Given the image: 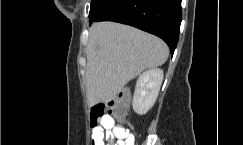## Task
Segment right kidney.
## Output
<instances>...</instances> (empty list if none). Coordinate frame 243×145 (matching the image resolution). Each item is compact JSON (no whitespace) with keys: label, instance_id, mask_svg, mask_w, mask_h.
<instances>
[{"label":"right kidney","instance_id":"obj_1","mask_svg":"<svg viewBox=\"0 0 243 145\" xmlns=\"http://www.w3.org/2000/svg\"><path fill=\"white\" fill-rule=\"evenodd\" d=\"M163 81V71L158 68L143 72L137 80L132 100L133 110L146 114L154 105Z\"/></svg>","mask_w":243,"mask_h":145}]
</instances>
